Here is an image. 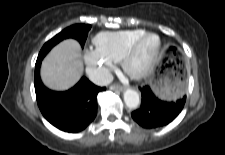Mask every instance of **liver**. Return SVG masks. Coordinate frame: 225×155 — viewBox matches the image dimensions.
Returning a JSON list of instances; mask_svg holds the SVG:
<instances>
[{
  "label": "liver",
  "instance_id": "liver-1",
  "mask_svg": "<svg viewBox=\"0 0 225 155\" xmlns=\"http://www.w3.org/2000/svg\"><path fill=\"white\" fill-rule=\"evenodd\" d=\"M82 73L81 47L73 39L64 40L56 45L41 65L44 84L57 91L68 90L74 86Z\"/></svg>",
  "mask_w": 225,
  "mask_h": 155
}]
</instances>
